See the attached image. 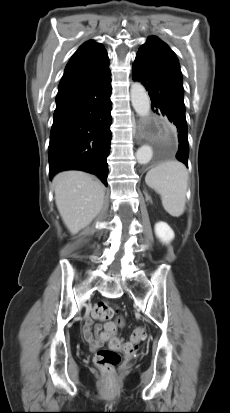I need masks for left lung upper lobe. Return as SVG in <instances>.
<instances>
[{
	"mask_svg": "<svg viewBox=\"0 0 230 413\" xmlns=\"http://www.w3.org/2000/svg\"><path fill=\"white\" fill-rule=\"evenodd\" d=\"M140 49H146L152 51L156 55L160 56L164 61H166L169 66H171L175 71L181 75V70L179 66L178 59L175 53L169 48V46L160 40L156 36H150L147 42L143 44Z\"/></svg>",
	"mask_w": 230,
	"mask_h": 413,
	"instance_id": "obj_1",
	"label": "left lung upper lobe"
}]
</instances>
